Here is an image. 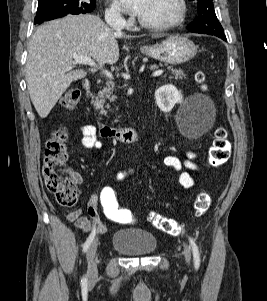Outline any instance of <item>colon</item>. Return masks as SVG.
I'll return each mask as SVG.
<instances>
[{"mask_svg": "<svg viewBox=\"0 0 267 301\" xmlns=\"http://www.w3.org/2000/svg\"><path fill=\"white\" fill-rule=\"evenodd\" d=\"M196 81L204 82V74L196 73ZM80 99V92L75 88L68 89L62 97V105L65 109H73ZM68 134L64 128L54 130L46 142L44 164L42 173L45 185L49 192L53 193L59 204L71 206L77 201L78 188L76 180L65 165L69 159L67 149ZM231 143L228 133L224 128L215 131L213 143L208 152V162L211 166H220L230 157ZM98 205L103 215L110 221L116 223H127L132 220L129 210L123 208L119 203L118 193L113 187H104L98 196ZM211 205L210 195L201 191L194 201L197 216L204 215ZM151 224L166 233L177 235L181 226L173 219L164 217L156 212L149 214Z\"/></svg>", "mask_w": 267, "mask_h": 301, "instance_id": "obj_1", "label": "colon"}]
</instances>
